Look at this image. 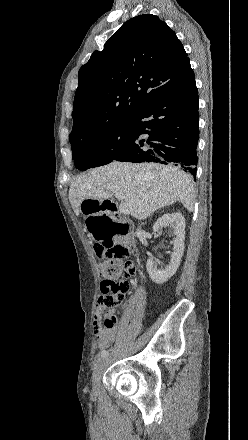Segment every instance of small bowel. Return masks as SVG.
<instances>
[{"mask_svg":"<svg viewBox=\"0 0 248 440\" xmlns=\"http://www.w3.org/2000/svg\"><path fill=\"white\" fill-rule=\"evenodd\" d=\"M105 309L96 308L94 319H93V331L97 338V347L100 350H105L108 348L111 343L114 342L117 334V326L114 325L113 327H103L102 325V315L104 313ZM114 310L110 309L106 311L107 315H113Z\"/></svg>","mask_w":248,"mask_h":440,"instance_id":"c3829d8e","label":"small bowel"}]
</instances>
